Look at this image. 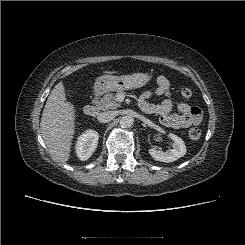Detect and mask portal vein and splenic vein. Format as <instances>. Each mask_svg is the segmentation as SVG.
<instances>
[{"label":"portal vein and splenic vein","mask_w":245,"mask_h":245,"mask_svg":"<svg viewBox=\"0 0 245 245\" xmlns=\"http://www.w3.org/2000/svg\"><path fill=\"white\" fill-rule=\"evenodd\" d=\"M123 99H124V96L123 95H119L118 97H117V101H123Z\"/></svg>","instance_id":"portal-vein-and-splenic-vein-1"}]
</instances>
